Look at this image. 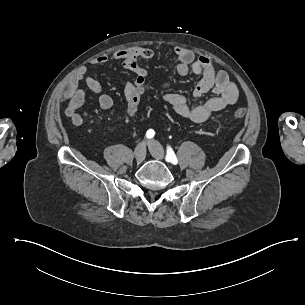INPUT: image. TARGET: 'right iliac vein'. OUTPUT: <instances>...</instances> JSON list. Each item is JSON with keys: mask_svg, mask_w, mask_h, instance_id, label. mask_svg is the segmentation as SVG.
I'll use <instances>...</instances> for the list:
<instances>
[{"mask_svg": "<svg viewBox=\"0 0 305 305\" xmlns=\"http://www.w3.org/2000/svg\"><path fill=\"white\" fill-rule=\"evenodd\" d=\"M135 159L137 163L143 162L145 155H146V147L143 142L139 143L134 151Z\"/></svg>", "mask_w": 305, "mask_h": 305, "instance_id": "right-iliac-vein-1", "label": "right iliac vein"}]
</instances>
